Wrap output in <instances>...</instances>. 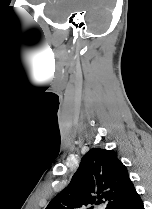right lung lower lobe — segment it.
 Instances as JSON below:
<instances>
[{"mask_svg": "<svg viewBox=\"0 0 152 209\" xmlns=\"http://www.w3.org/2000/svg\"><path fill=\"white\" fill-rule=\"evenodd\" d=\"M110 209H144V206L143 201L133 186L126 195Z\"/></svg>", "mask_w": 152, "mask_h": 209, "instance_id": "right-lung-lower-lobe-1", "label": "right lung lower lobe"}]
</instances>
